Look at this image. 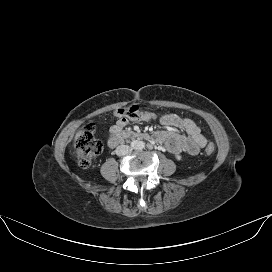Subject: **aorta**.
<instances>
[{
  "mask_svg": "<svg viewBox=\"0 0 272 272\" xmlns=\"http://www.w3.org/2000/svg\"><path fill=\"white\" fill-rule=\"evenodd\" d=\"M131 147L133 149H140L142 147V142L138 140H134L131 142Z\"/></svg>",
  "mask_w": 272,
  "mask_h": 272,
  "instance_id": "obj_1",
  "label": "aorta"
}]
</instances>
